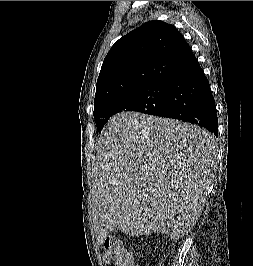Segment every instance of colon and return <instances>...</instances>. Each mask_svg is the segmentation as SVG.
Masks as SVG:
<instances>
[{
  "instance_id": "5ec220e1",
  "label": "colon",
  "mask_w": 253,
  "mask_h": 266,
  "mask_svg": "<svg viewBox=\"0 0 253 266\" xmlns=\"http://www.w3.org/2000/svg\"><path fill=\"white\" fill-rule=\"evenodd\" d=\"M103 260L113 266H135L134 258L117 238H107L102 243Z\"/></svg>"
}]
</instances>
